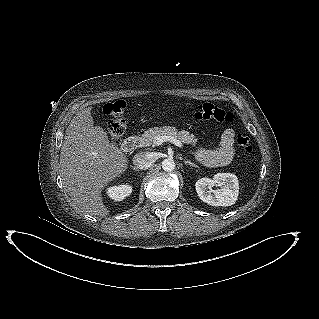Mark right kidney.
I'll return each mask as SVG.
<instances>
[{
	"label": "right kidney",
	"mask_w": 319,
	"mask_h": 319,
	"mask_svg": "<svg viewBox=\"0 0 319 319\" xmlns=\"http://www.w3.org/2000/svg\"><path fill=\"white\" fill-rule=\"evenodd\" d=\"M132 192V187L127 184L112 186L108 188V195L115 201H122L125 197L129 196Z\"/></svg>",
	"instance_id": "1"
}]
</instances>
